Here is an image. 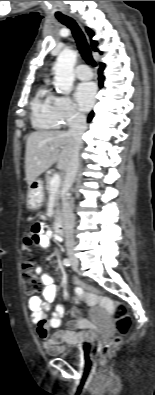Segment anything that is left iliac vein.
Instances as JSON below:
<instances>
[{
  "label": "left iliac vein",
  "mask_w": 155,
  "mask_h": 395,
  "mask_svg": "<svg viewBox=\"0 0 155 395\" xmlns=\"http://www.w3.org/2000/svg\"><path fill=\"white\" fill-rule=\"evenodd\" d=\"M72 269H73L74 271H77V270H78V264L72 263Z\"/></svg>",
  "instance_id": "left-iliac-vein-1"
}]
</instances>
